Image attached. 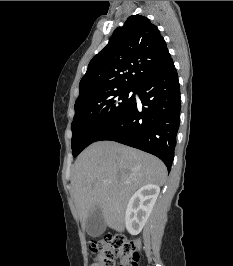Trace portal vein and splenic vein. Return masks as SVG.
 Wrapping results in <instances>:
<instances>
[{"instance_id":"portal-vein-and-splenic-vein-1","label":"portal vein and splenic vein","mask_w":233,"mask_h":266,"mask_svg":"<svg viewBox=\"0 0 233 266\" xmlns=\"http://www.w3.org/2000/svg\"><path fill=\"white\" fill-rule=\"evenodd\" d=\"M103 182H104V183H107V182H109V181H108V180H104Z\"/></svg>"}]
</instances>
